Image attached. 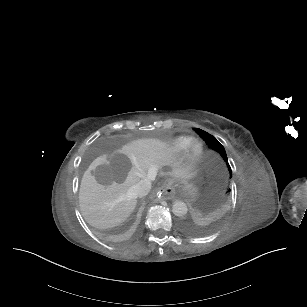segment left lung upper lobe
<instances>
[{"instance_id":"1","label":"left lung upper lobe","mask_w":307,"mask_h":307,"mask_svg":"<svg viewBox=\"0 0 307 307\" xmlns=\"http://www.w3.org/2000/svg\"><path fill=\"white\" fill-rule=\"evenodd\" d=\"M194 130L200 135V137L206 142V144L210 148L216 150L217 152H219L221 154V156L223 157V159L225 160V162L227 164V167H228L229 172H230V176L232 177V170H231V167H230V165L228 163V159H227V155H226L224 147L211 134H209V133H207V132H205V131H203V130H201L199 128H195Z\"/></svg>"}]
</instances>
